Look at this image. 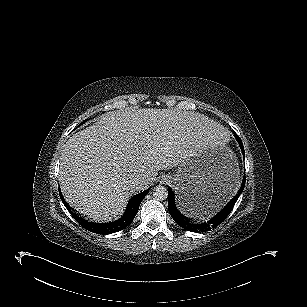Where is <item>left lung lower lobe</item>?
<instances>
[{
    "label": "left lung lower lobe",
    "mask_w": 307,
    "mask_h": 307,
    "mask_svg": "<svg viewBox=\"0 0 307 307\" xmlns=\"http://www.w3.org/2000/svg\"><path fill=\"white\" fill-rule=\"evenodd\" d=\"M235 137L237 141L240 144V147L242 149L243 155L245 156L244 147L242 144L241 139L235 134ZM245 186V177L242 182V185L240 187V190L238 193L234 196V198L212 219L205 223L196 224L189 221V219L185 216H183L176 208L175 201H174V194L172 190L168 187V209L169 213L174 219V221L183 229L191 232H197V233H203L210 231L211 229L217 227L219 224H221L230 214L232 211L236 201L238 200L240 194L242 193Z\"/></svg>",
    "instance_id": "0a47b994"
}]
</instances>
